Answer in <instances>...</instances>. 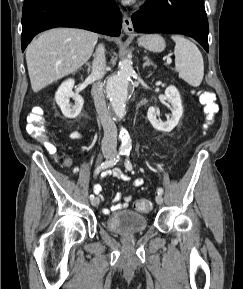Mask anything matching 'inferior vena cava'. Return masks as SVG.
Here are the masks:
<instances>
[{
  "mask_svg": "<svg viewBox=\"0 0 243 289\" xmlns=\"http://www.w3.org/2000/svg\"><path fill=\"white\" fill-rule=\"evenodd\" d=\"M105 67V49L103 45H99L96 50L91 73V76L98 81L93 86V98L98 117L104 129V137L101 146L102 151L114 154L117 152V128L111 113L106 107L102 86L99 82L105 74Z\"/></svg>",
  "mask_w": 243,
  "mask_h": 289,
  "instance_id": "obj_1",
  "label": "inferior vena cava"
}]
</instances>
